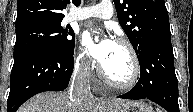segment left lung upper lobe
Here are the masks:
<instances>
[{
    "mask_svg": "<svg viewBox=\"0 0 193 112\" xmlns=\"http://www.w3.org/2000/svg\"><path fill=\"white\" fill-rule=\"evenodd\" d=\"M119 23L137 57L157 39L171 35L164 0H113Z\"/></svg>",
    "mask_w": 193,
    "mask_h": 112,
    "instance_id": "5c2ea615",
    "label": "left lung upper lobe"
}]
</instances>
